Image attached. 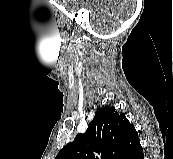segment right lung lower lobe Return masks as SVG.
Instances as JSON below:
<instances>
[{
	"label": "right lung lower lobe",
	"mask_w": 173,
	"mask_h": 159,
	"mask_svg": "<svg viewBox=\"0 0 173 159\" xmlns=\"http://www.w3.org/2000/svg\"><path fill=\"white\" fill-rule=\"evenodd\" d=\"M129 159H144L143 149L131 156Z\"/></svg>",
	"instance_id": "obj_1"
}]
</instances>
